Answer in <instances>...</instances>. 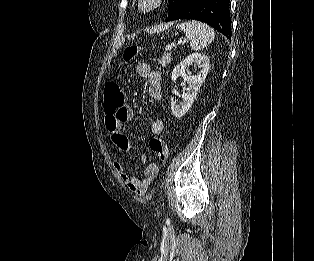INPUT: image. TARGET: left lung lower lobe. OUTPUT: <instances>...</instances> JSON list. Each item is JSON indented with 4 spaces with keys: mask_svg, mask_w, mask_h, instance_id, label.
Segmentation results:
<instances>
[{
    "mask_svg": "<svg viewBox=\"0 0 314 261\" xmlns=\"http://www.w3.org/2000/svg\"><path fill=\"white\" fill-rule=\"evenodd\" d=\"M178 19L205 22L231 39L229 0H184L168 21Z\"/></svg>",
    "mask_w": 314,
    "mask_h": 261,
    "instance_id": "left-lung-lower-lobe-1",
    "label": "left lung lower lobe"
}]
</instances>
